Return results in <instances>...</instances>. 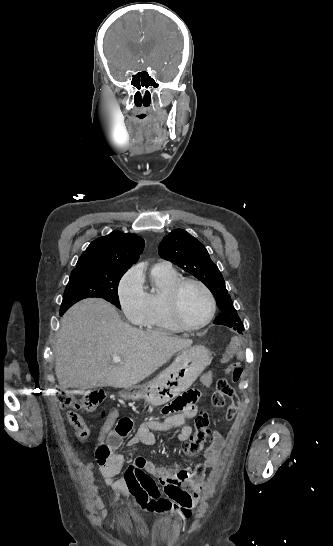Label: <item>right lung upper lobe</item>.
<instances>
[{
    "label": "right lung upper lobe",
    "instance_id": "right-lung-upper-lobe-1",
    "mask_svg": "<svg viewBox=\"0 0 333 546\" xmlns=\"http://www.w3.org/2000/svg\"><path fill=\"white\" fill-rule=\"evenodd\" d=\"M144 240L133 233L113 231L94 240L79 258L71 275L82 274L93 267L128 270L139 259Z\"/></svg>",
    "mask_w": 333,
    "mask_h": 546
}]
</instances>
